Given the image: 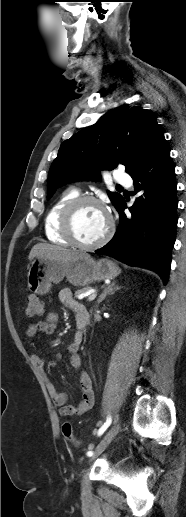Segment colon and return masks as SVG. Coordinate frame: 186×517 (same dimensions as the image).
<instances>
[{"mask_svg": "<svg viewBox=\"0 0 186 517\" xmlns=\"http://www.w3.org/2000/svg\"><path fill=\"white\" fill-rule=\"evenodd\" d=\"M44 312L43 303L39 297L30 295L26 301V314L30 317L41 315ZM63 437L73 443L75 446L80 445V441L77 440L73 434L72 425L70 422H65L62 425Z\"/></svg>", "mask_w": 186, "mask_h": 517, "instance_id": "colon-1", "label": "colon"}]
</instances>
